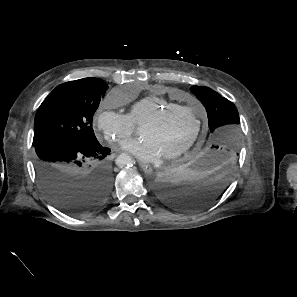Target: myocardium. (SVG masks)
Returning a JSON list of instances; mask_svg holds the SVG:
<instances>
[{
	"instance_id": "obj_1",
	"label": "myocardium",
	"mask_w": 297,
	"mask_h": 297,
	"mask_svg": "<svg viewBox=\"0 0 297 297\" xmlns=\"http://www.w3.org/2000/svg\"><path fill=\"white\" fill-rule=\"evenodd\" d=\"M176 111H189V112H192L194 117H195V120H196V126H195V129L193 131V134L190 136V138L187 140V142L184 143L178 149L165 154L163 156L164 160L176 159V158L180 157L181 155H183L185 152H187L196 143V141L198 140V138H199V136L201 134V131H202L201 113H200V111L198 110L197 107H193V106H189V105H173V106L163 108L160 111H158L157 113H155L153 116L148 118L142 124V126H149V125L158 123L165 116H167V115H169V114H171L173 112H176Z\"/></svg>"
}]
</instances>
